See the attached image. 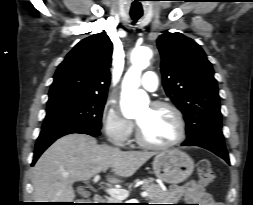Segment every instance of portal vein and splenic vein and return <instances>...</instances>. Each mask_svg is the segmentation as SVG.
I'll return each mask as SVG.
<instances>
[{
  "instance_id": "1",
  "label": "portal vein and splenic vein",
  "mask_w": 253,
  "mask_h": 205,
  "mask_svg": "<svg viewBox=\"0 0 253 205\" xmlns=\"http://www.w3.org/2000/svg\"><path fill=\"white\" fill-rule=\"evenodd\" d=\"M100 179L99 175H96L93 179V182L96 183ZM107 193L114 198H117L118 200H125L129 196V192L127 190L123 189H117V188H108ZM142 197H148L149 193L147 191H144L141 193Z\"/></svg>"
}]
</instances>
